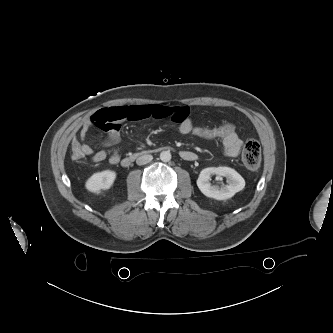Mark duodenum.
<instances>
[{
  "label": "duodenum",
  "mask_w": 333,
  "mask_h": 333,
  "mask_svg": "<svg viewBox=\"0 0 333 333\" xmlns=\"http://www.w3.org/2000/svg\"><path fill=\"white\" fill-rule=\"evenodd\" d=\"M154 151L155 150H143V151L135 152L133 154H130V155L124 157L122 159L121 164L123 167H129L137 159V157L153 153ZM181 155H182V157H186V158H190V159L196 158L195 155H191V154L182 153Z\"/></svg>",
  "instance_id": "410a0bca"
}]
</instances>
